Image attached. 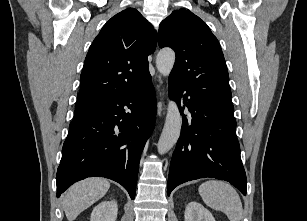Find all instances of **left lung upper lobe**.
<instances>
[{"label": "left lung upper lobe", "mask_w": 307, "mask_h": 221, "mask_svg": "<svg viewBox=\"0 0 307 221\" xmlns=\"http://www.w3.org/2000/svg\"><path fill=\"white\" fill-rule=\"evenodd\" d=\"M158 43L175 51L170 77L194 97L234 117L224 56L205 22L190 10H175L161 22Z\"/></svg>", "instance_id": "1"}]
</instances>
